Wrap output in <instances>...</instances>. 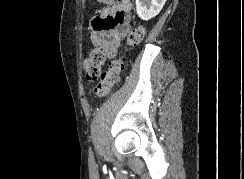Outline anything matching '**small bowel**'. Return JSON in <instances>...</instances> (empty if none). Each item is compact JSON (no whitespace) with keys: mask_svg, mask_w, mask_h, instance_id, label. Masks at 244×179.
Masks as SVG:
<instances>
[{"mask_svg":"<svg viewBox=\"0 0 244 179\" xmlns=\"http://www.w3.org/2000/svg\"><path fill=\"white\" fill-rule=\"evenodd\" d=\"M125 8H104L90 21L89 39L94 46L107 48L109 58H114L121 39L127 35L129 25L125 21Z\"/></svg>","mask_w":244,"mask_h":179,"instance_id":"obj_1","label":"small bowel"}]
</instances>
